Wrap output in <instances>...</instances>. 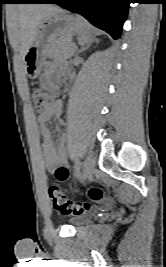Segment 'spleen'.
Instances as JSON below:
<instances>
[{
	"label": "spleen",
	"instance_id": "1",
	"mask_svg": "<svg viewBox=\"0 0 166 267\" xmlns=\"http://www.w3.org/2000/svg\"><path fill=\"white\" fill-rule=\"evenodd\" d=\"M90 38V26L83 21L78 31V42L81 45L86 44Z\"/></svg>",
	"mask_w": 166,
	"mask_h": 267
}]
</instances>
